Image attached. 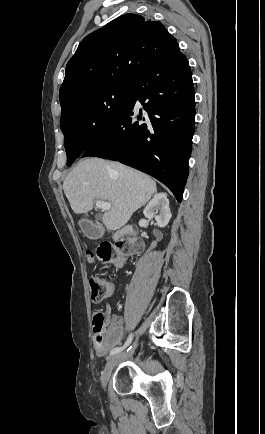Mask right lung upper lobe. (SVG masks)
I'll use <instances>...</instances> for the list:
<instances>
[{
	"instance_id": "cb5924a9",
	"label": "right lung upper lobe",
	"mask_w": 265,
	"mask_h": 434,
	"mask_svg": "<svg viewBox=\"0 0 265 434\" xmlns=\"http://www.w3.org/2000/svg\"><path fill=\"white\" fill-rule=\"evenodd\" d=\"M177 40L159 21L128 13L86 36L68 61L60 95L108 78H137Z\"/></svg>"
}]
</instances>
